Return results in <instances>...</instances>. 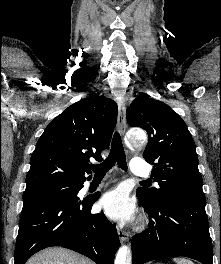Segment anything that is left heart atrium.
Returning a JSON list of instances; mask_svg holds the SVG:
<instances>
[{"instance_id": "obj_1", "label": "left heart atrium", "mask_w": 221, "mask_h": 264, "mask_svg": "<svg viewBox=\"0 0 221 264\" xmlns=\"http://www.w3.org/2000/svg\"><path fill=\"white\" fill-rule=\"evenodd\" d=\"M99 204L105 214L115 221L129 222L135 214V203L123 187L105 192Z\"/></svg>"}]
</instances>
